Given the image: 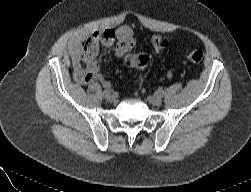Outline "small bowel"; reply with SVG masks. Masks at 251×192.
<instances>
[{
    "label": "small bowel",
    "mask_w": 251,
    "mask_h": 192,
    "mask_svg": "<svg viewBox=\"0 0 251 192\" xmlns=\"http://www.w3.org/2000/svg\"><path fill=\"white\" fill-rule=\"evenodd\" d=\"M100 46L113 47L117 57H123L133 46V36L128 27H121L116 31L104 29L95 32L83 45L75 42L71 45L70 51L73 63L74 79L82 84H88L94 80H100L105 87L110 84L105 81L99 73V65L96 56ZM173 71H168L171 77Z\"/></svg>",
    "instance_id": "small-bowel-1"
}]
</instances>
